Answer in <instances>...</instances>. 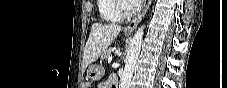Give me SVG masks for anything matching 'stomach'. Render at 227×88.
Instances as JSON below:
<instances>
[{
	"label": "stomach",
	"mask_w": 227,
	"mask_h": 88,
	"mask_svg": "<svg viewBox=\"0 0 227 88\" xmlns=\"http://www.w3.org/2000/svg\"><path fill=\"white\" fill-rule=\"evenodd\" d=\"M104 74L102 65H91L87 71V76L92 81L100 80Z\"/></svg>",
	"instance_id": "0dacf381"
}]
</instances>
